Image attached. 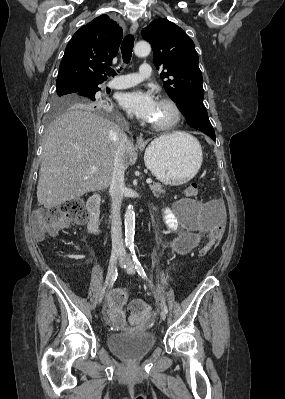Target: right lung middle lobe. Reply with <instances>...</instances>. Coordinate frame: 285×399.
<instances>
[{
  "mask_svg": "<svg viewBox=\"0 0 285 399\" xmlns=\"http://www.w3.org/2000/svg\"><path fill=\"white\" fill-rule=\"evenodd\" d=\"M53 102L51 120L65 110L72 108H104V103L95 96L96 89H57Z\"/></svg>",
  "mask_w": 285,
  "mask_h": 399,
  "instance_id": "right-lung-middle-lobe-1",
  "label": "right lung middle lobe"
}]
</instances>
